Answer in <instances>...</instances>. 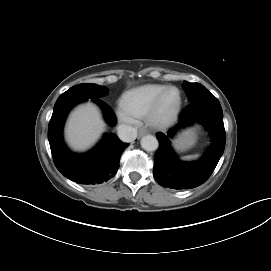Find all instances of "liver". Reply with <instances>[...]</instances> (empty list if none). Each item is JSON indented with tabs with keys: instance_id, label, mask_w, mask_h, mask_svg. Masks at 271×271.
<instances>
[{
	"instance_id": "obj_1",
	"label": "liver",
	"mask_w": 271,
	"mask_h": 271,
	"mask_svg": "<svg viewBox=\"0 0 271 271\" xmlns=\"http://www.w3.org/2000/svg\"><path fill=\"white\" fill-rule=\"evenodd\" d=\"M105 130L101 113L93 103L78 106L70 115L66 129V139L75 150L91 147Z\"/></svg>"
}]
</instances>
